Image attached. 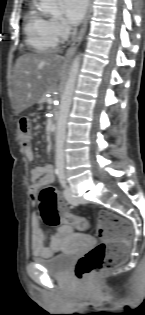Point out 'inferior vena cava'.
<instances>
[{
	"mask_svg": "<svg viewBox=\"0 0 145 315\" xmlns=\"http://www.w3.org/2000/svg\"><path fill=\"white\" fill-rule=\"evenodd\" d=\"M75 33H76V30H74L73 34H75Z\"/></svg>",
	"mask_w": 145,
	"mask_h": 315,
	"instance_id": "602c4592",
	"label": "inferior vena cava"
}]
</instances>
